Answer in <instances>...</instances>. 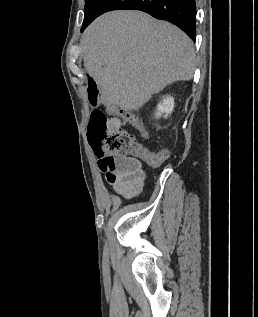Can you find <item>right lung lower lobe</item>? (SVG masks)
Returning a JSON list of instances; mask_svg holds the SVG:
<instances>
[{"instance_id":"98d812e1","label":"right lung lower lobe","mask_w":258,"mask_h":317,"mask_svg":"<svg viewBox=\"0 0 258 317\" xmlns=\"http://www.w3.org/2000/svg\"><path fill=\"white\" fill-rule=\"evenodd\" d=\"M117 9L141 10L156 19L169 21L195 41V0H90L85 4L81 31L99 15Z\"/></svg>"}]
</instances>
